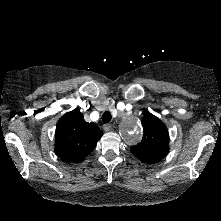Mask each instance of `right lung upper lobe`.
I'll return each mask as SVG.
<instances>
[{
    "instance_id": "cb5924a9",
    "label": "right lung upper lobe",
    "mask_w": 221,
    "mask_h": 221,
    "mask_svg": "<svg viewBox=\"0 0 221 221\" xmlns=\"http://www.w3.org/2000/svg\"><path fill=\"white\" fill-rule=\"evenodd\" d=\"M103 132L87 123L78 109L64 114L57 123L55 152L65 162H81L95 148Z\"/></svg>"
}]
</instances>
